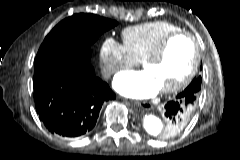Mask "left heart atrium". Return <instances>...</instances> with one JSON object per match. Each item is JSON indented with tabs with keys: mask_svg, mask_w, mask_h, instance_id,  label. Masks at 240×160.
Segmentation results:
<instances>
[{
	"mask_svg": "<svg viewBox=\"0 0 240 160\" xmlns=\"http://www.w3.org/2000/svg\"><path fill=\"white\" fill-rule=\"evenodd\" d=\"M114 89L132 98H149L159 91L154 78L145 70L119 73L113 81Z\"/></svg>",
	"mask_w": 240,
	"mask_h": 160,
	"instance_id": "obj_1",
	"label": "left heart atrium"
}]
</instances>
